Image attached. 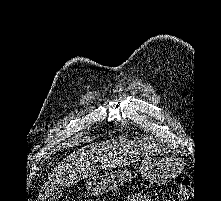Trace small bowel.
<instances>
[{
  "label": "small bowel",
  "instance_id": "1",
  "mask_svg": "<svg viewBox=\"0 0 221 201\" xmlns=\"http://www.w3.org/2000/svg\"><path fill=\"white\" fill-rule=\"evenodd\" d=\"M127 201H150V199L144 193H137L129 197Z\"/></svg>",
  "mask_w": 221,
  "mask_h": 201
}]
</instances>
